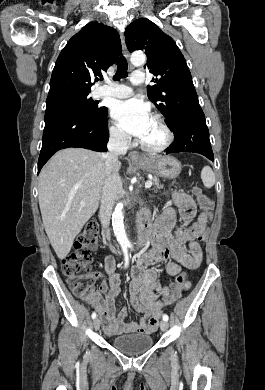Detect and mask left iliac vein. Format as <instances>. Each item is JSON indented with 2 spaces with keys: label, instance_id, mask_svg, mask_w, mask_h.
<instances>
[{
  "label": "left iliac vein",
  "instance_id": "left-iliac-vein-1",
  "mask_svg": "<svg viewBox=\"0 0 265 390\" xmlns=\"http://www.w3.org/2000/svg\"><path fill=\"white\" fill-rule=\"evenodd\" d=\"M168 322L167 321H161L160 322V328L162 331H166L168 329Z\"/></svg>",
  "mask_w": 265,
  "mask_h": 390
}]
</instances>
